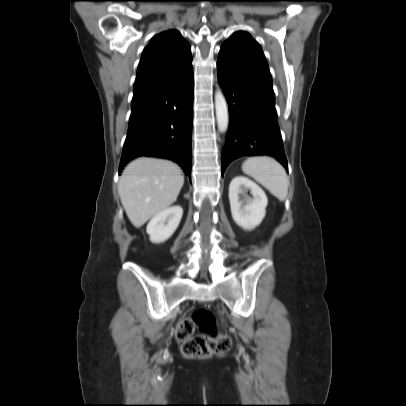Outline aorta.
Wrapping results in <instances>:
<instances>
[{"label":"aorta","mask_w":406,"mask_h":406,"mask_svg":"<svg viewBox=\"0 0 406 406\" xmlns=\"http://www.w3.org/2000/svg\"><path fill=\"white\" fill-rule=\"evenodd\" d=\"M215 109H216V118H217L218 128L221 132H223L228 128L229 112H228V105H227L226 99L221 90H218L216 92Z\"/></svg>","instance_id":"aorta-1"}]
</instances>
